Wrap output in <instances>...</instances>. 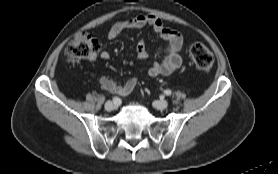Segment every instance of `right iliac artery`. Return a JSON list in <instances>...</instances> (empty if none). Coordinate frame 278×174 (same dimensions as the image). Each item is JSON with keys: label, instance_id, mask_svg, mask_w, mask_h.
<instances>
[{"label": "right iliac artery", "instance_id": "obj_1", "mask_svg": "<svg viewBox=\"0 0 278 174\" xmlns=\"http://www.w3.org/2000/svg\"><path fill=\"white\" fill-rule=\"evenodd\" d=\"M113 103H114L115 105H120V104H121V99L118 98V97H113Z\"/></svg>", "mask_w": 278, "mask_h": 174}]
</instances>
